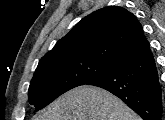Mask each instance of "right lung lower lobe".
Wrapping results in <instances>:
<instances>
[{"label": "right lung lower lobe", "instance_id": "right-lung-lower-lobe-1", "mask_svg": "<svg viewBox=\"0 0 165 120\" xmlns=\"http://www.w3.org/2000/svg\"><path fill=\"white\" fill-rule=\"evenodd\" d=\"M86 85L98 86L111 92L143 120H162V90L149 45Z\"/></svg>", "mask_w": 165, "mask_h": 120}]
</instances>
